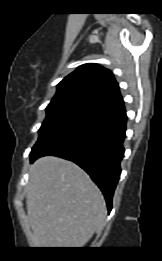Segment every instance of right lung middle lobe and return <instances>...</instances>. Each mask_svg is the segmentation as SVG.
<instances>
[{"label": "right lung middle lobe", "mask_w": 162, "mask_h": 261, "mask_svg": "<svg viewBox=\"0 0 162 261\" xmlns=\"http://www.w3.org/2000/svg\"><path fill=\"white\" fill-rule=\"evenodd\" d=\"M102 106L100 101L82 93L55 95L46 108L47 116L39 129V139L32 148V152L61 127Z\"/></svg>", "instance_id": "1"}]
</instances>
